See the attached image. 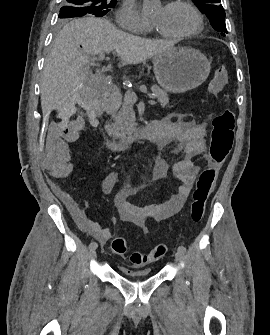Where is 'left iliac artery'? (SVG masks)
Wrapping results in <instances>:
<instances>
[{
  "label": "left iliac artery",
  "mask_w": 270,
  "mask_h": 335,
  "mask_svg": "<svg viewBox=\"0 0 270 335\" xmlns=\"http://www.w3.org/2000/svg\"><path fill=\"white\" fill-rule=\"evenodd\" d=\"M178 251L185 253L186 252V248L184 246H179L178 247Z\"/></svg>",
  "instance_id": "obj_1"
}]
</instances>
